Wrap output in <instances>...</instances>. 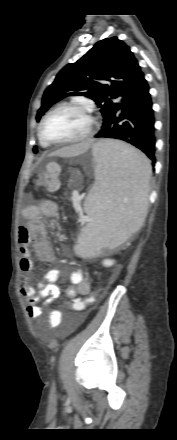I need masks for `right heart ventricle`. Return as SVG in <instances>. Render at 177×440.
<instances>
[{
  "mask_svg": "<svg viewBox=\"0 0 177 440\" xmlns=\"http://www.w3.org/2000/svg\"><path fill=\"white\" fill-rule=\"evenodd\" d=\"M43 147H47L48 145L41 141Z\"/></svg>",
  "mask_w": 177,
  "mask_h": 440,
  "instance_id": "e07e8e85",
  "label": "right heart ventricle"
}]
</instances>
